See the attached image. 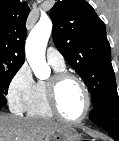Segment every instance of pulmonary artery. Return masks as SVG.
<instances>
[{
    "label": "pulmonary artery",
    "instance_id": "e3ab8cb5",
    "mask_svg": "<svg viewBox=\"0 0 119 141\" xmlns=\"http://www.w3.org/2000/svg\"><path fill=\"white\" fill-rule=\"evenodd\" d=\"M46 58L49 64L63 67L65 66V60L63 55L54 47H49L46 51Z\"/></svg>",
    "mask_w": 119,
    "mask_h": 141
}]
</instances>
